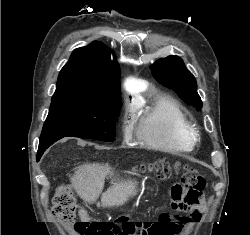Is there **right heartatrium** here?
I'll use <instances>...</instances> for the list:
<instances>
[{
	"instance_id": "right-heart-atrium-1",
	"label": "right heart atrium",
	"mask_w": 250,
	"mask_h": 235,
	"mask_svg": "<svg viewBox=\"0 0 250 235\" xmlns=\"http://www.w3.org/2000/svg\"><path fill=\"white\" fill-rule=\"evenodd\" d=\"M122 135L125 140H129L133 133V123L130 119L125 118L121 125Z\"/></svg>"
}]
</instances>
